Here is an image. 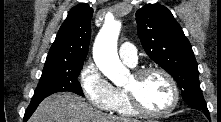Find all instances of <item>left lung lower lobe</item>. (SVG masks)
Instances as JSON below:
<instances>
[{
  "instance_id": "1",
  "label": "left lung lower lobe",
  "mask_w": 221,
  "mask_h": 122,
  "mask_svg": "<svg viewBox=\"0 0 221 122\" xmlns=\"http://www.w3.org/2000/svg\"><path fill=\"white\" fill-rule=\"evenodd\" d=\"M191 107L194 108V109H197V110H200V111L204 112L205 115H206V117H207L208 119H210V114H209V111H208V109H207L206 104H205V105H193V106H191Z\"/></svg>"
}]
</instances>
